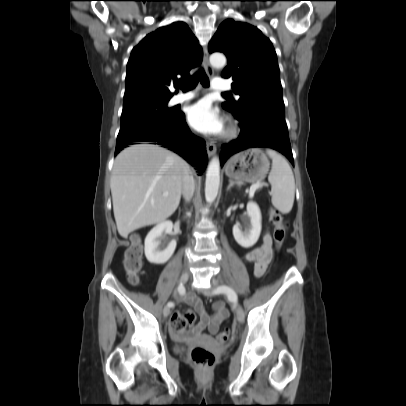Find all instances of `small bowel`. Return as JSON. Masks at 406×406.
Instances as JSON below:
<instances>
[{
	"mask_svg": "<svg viewBox=\"0 0 406 406\" xmlns=\"http://www.w3.org/2000/svg\"><path fill=\"white\" fill-rule=\"evenodd\" d=\"M272 240L269 233H264L260 246L248 251L244 255V260L253 262V274L256 278H262L267 270V266L272 259ZM183 300L191 305L199 315V322L192 330L193 335H200L202 331L207 328L210 335L217 333L220 324L228 317V311L224 302L216 301L213 303L214 315L209 316L202 301L193 293H188L183 297ZM174 336H181V331H174L171 329Z\"/></svg>",
	"mask_w": 406,
	"mask_h": 406,
	"instance_id": "1",
	"label": "small bowel"
}]
</instances>
